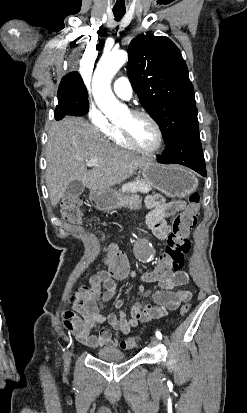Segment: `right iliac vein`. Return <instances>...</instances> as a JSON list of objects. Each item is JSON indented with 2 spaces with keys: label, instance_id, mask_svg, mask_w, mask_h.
Segmentation results:
<instances>
[{
  "label": "right iliac vein",
  "instance_id": "obj_1",
  "mask_svg": "<svg viewBox=\"0 0 247 413\" xmlns=\"http://www.w3.org/2000/svg\"><path fill=\"white\" fill-rule=\"evenodd\" d=\"M70 357H71V355H70L69 352H66V353L64 354V366H65L66 368L69 366Z\"/></svg>",
  "mask_w": 247,
  "mask_h": 413
}]
</instances>
